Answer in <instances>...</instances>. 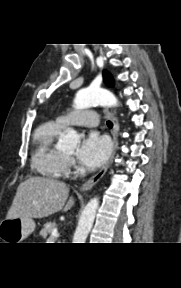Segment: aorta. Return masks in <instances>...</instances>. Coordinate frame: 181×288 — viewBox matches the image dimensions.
<instances>
[{
  "instance_id": "1",
  "label": "aorta",
  "mask_w": 181,
  "mask_h": 288,
  "mask_svg": "<svg viewBox=\"0 0 181 288\" xmlns=\"http://www.w3.org/2000/svg\"><path fill=\"white\" fill-rule=\"evenodd\" d=\"M118 101L113 94L101 88H86L77 92L74 108L85 109L94 105L117 106ZM80 137L76 131L70 130L61 140L63 149H72L79 143ZM99 206L98 198L91 199L81 213L76 227L73 243H85L94 223Z\"/></svg>"
}]
</instances>
